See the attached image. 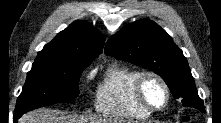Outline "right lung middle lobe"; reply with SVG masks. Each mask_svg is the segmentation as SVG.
Listing matches in <instances>:
<instances>
[{
	"mask_svg": "<svg viewBox=\"0 0 221 123\" xmlns=\"http://www.w3.org/2000/svg\"><path fill=\"white\" fill-rule=\"evenodd\" d=\"M87 63L35 60L18 97L15 113L60 102L79 95V77Z\"/></svg>",
	"mask_w": 221,
	"mask_h": 123,
	"instance_id": "obj_1",
	"label": "right lung middle lobe"
}]
</instances>
